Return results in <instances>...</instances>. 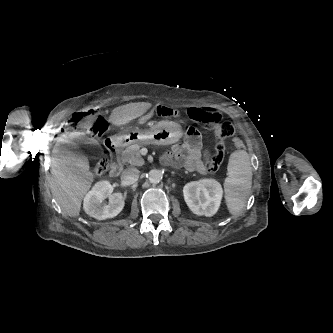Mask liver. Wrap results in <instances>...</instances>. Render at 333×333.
<instances>
[{
    "label": "liver",
    "mask_w": 333,
    "mask_h": 333,
    "mask_svg": "<svg viewBox=\"0 0 333 333\" xmlns=\"http://www.w3.org/2000/svg\"><path fill=\"white\" fill-rule=\"evenodd\" d=\"M151 103H129L113 109L110 122L115 126H123L137 117L143 115ZM101 115H89L91 120ZM63 143L74 144L70 139L62 140ZM51 164L50 189L62 211L69 217L79 216L81 202L84 195L91 187L93 174L89 171V162L86 157L68 153L58 146H54Z\"/></svg>",
    "instance_id": "obj_1"
}]
</instances>
